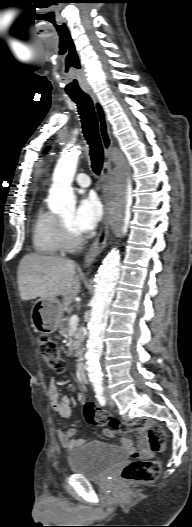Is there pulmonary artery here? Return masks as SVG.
I'll return each mask as SVG.
<instances>
[{"label": "pulmonary artery", "mask_w": 192, "mask_h": 527, "mask_svg": "<svg viewBox=\"0 0 192 527\" xmlns=\"http://www.w3.org/2000/svg\"><path fill=\"white\" fill-rule=\"evenodd\" d=\"M75 181L79 186L83 188L89 187L91 184L90 177L85 173L78 174L75 178Z\"/></svg>", "instance_id": "obj_1"}]
</instances>
